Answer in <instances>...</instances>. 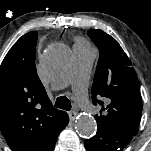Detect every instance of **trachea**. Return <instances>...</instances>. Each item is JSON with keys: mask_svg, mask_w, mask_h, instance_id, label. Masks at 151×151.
<instances>
[{"mask_svg": "<svg viewBox=\"0 0 151 151\" xmlns=\"http://www.w3.org/2000/svg\"><path fill=\"white\" fill-rule=\"evenodd\" d=\"M55 107L69 111L71 109L70 100L66 96H60L56 99Z\"/></svg>", "mask_w": 151, "mask_h": 151, "instance_id": "1", "label": "trachea"}]
</instances>
